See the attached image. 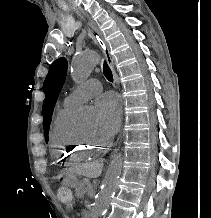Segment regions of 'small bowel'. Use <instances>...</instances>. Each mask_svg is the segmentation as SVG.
<instances>
[{
	"label": "small bowel",
	"instance_id": "obj_1",
	"mask_svg": "<svg viewBox=\"0 0 211 218\" xmlns=\"http://www.w3.org/2000/svg\"><path fill=\"white\" fill-rule=\"evenodd\" d=\"M66 206H67V209H72L73 208V204L71 202L66 204Z\"/></svg>",
	"mask_w": 211,
	"mask_h": 218
}]
</instances>
